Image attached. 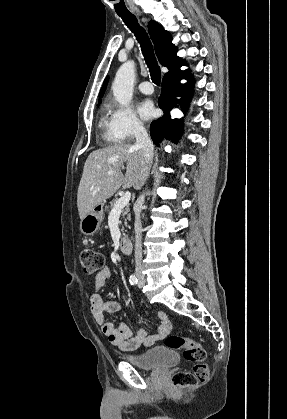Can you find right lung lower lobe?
Here are the masks:
<instances>
[{
    "instance_id": "1",
    "label": "right lung lower lobe",
    "mask_w": 287,
    "mask_h": 419,
    "mask_svg": "<svg viewBox=\"0 0 287 419\" xmlns=\"http://www.w3.org/2000/svg\"><path fill=\"white\" fill-rule=\"evenodd\" d=\"M181 79H187L188 83L181 84ZM193 90V81L189 73L180 71L174 74H166L162 81V92L158 100L160 108L164 115L150 126V133L153 142L159 146V143L166 138L176 142L182 133L181 122L170 118V111L175 104H180L182 111L186 110L188 101L191 98ZM179 96L181 99H176Z\"/></svg>"
}]
</instances>
